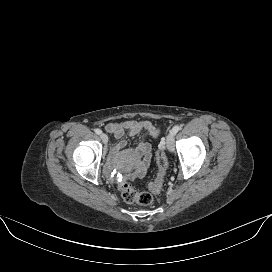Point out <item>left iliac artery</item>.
Listing matches in <instances>:
<instances>
[{
  "label": "left iliac artery",
  "instance_id": "1",
  "mask_svg": "<svg viewBox=\"0 0 272 272\" xmlns=\"http://www.w3.org/2000/svg\"><path fill=\"white\" fill-rule=\"evenodd\" d=\"M180 129H181L180 126L175 125V126L172 128L171 133H172L173 135H175Z\"/></svg>",
  "mask_w": 272,
  "mask_h": 272
}]
</instances>
